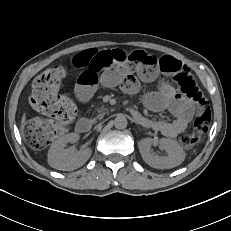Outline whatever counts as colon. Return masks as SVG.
Wrapping results in <instances>:
<instances>
[{"instance_id": "obj_1", "label": "colon", "mask_w": 231, "mask_h": 231, "mask_svg": "<svg viewBox=\"0 0 231 231\" xmlns=\"http://www.w3.org/2000/svg\"><path fill=\"white\" fill-rule=\"evenodd\" d=\"M142 56L140 50H135L128 52L126 58L140 61ZM63 76L64 69L62 67H53L40 74L32 84L30 105L44 116L32 119L27 126V140L35 149H42L50 145L64 132L76 114L73 102L58 93ZM175 79L185 94L193 96L196 94L195 85L190 78L179 74ZM200 104L201 108L194 121L192 133L180 138L181 145L187 149L197 145L209 129L210 108L204 98L201 99Z\"/></svg>"}]
</instances>
